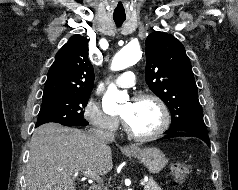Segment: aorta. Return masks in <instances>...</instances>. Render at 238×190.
I'll return each mask as SVG.
<instances>
[{"instance_id":"aorta-1","label":"aorta","mask_w":238,"mask_h":190,"mask_svg":"<svg viewBox=\"0 0 238 190\" xmlns=\"http://www.w3.org/2000/svg\"><path fill=\"white\" fill-rule=\"evenodd\" d=\"M141 56L142 51L139 44L131 41L114 56L111 68L115 71L126 69L137 63ZM127 100V93L119 91L114 84H110L102 99L103 111L107 114L117 112L119 104Z\"/></svg>"}]
</instances>
